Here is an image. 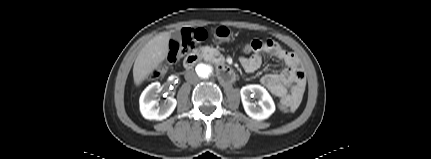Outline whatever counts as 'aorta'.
I'll use <instances>...</instances> for the list:
<instances>
[{
    "label": "aorta",
    "mask_w": 431,
    "mask_h": 159,
    "mask_svg": "<svg viewBox=\"0 0 431 159\" xmlns=\"http://www.w3.org/2000/svg\"><path fill=\"white\" fill-rule=\"evenodd\" d=\"M195 70H196L198 76L202 79H208L213 73V68L208 63L197 64L195 67Z\"/></svg>",
    "instance_id": "762f6f07"
}]
</instances>
